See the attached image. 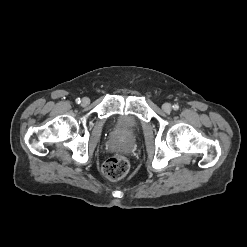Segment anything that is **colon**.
<instances>
[{
  "label": "colon",
  "mask_w": 247,
  "mask_h": 247,
  "mask_svg": "<svg viewBox=\"0 0 247 247\" xmlns=\"http://www.w3.org/2000/svg\"><path fill=\"white\" fill-rule=\"evenodd\" d=\"M128 169V160L121 155H115L107 159L101 167L103 175L113 181L123 178L127 174Z\"/></svg>",
  "instance_id": "5ec220e1"
}]
</instances>
